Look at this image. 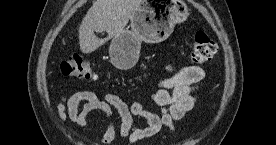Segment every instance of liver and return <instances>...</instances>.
I'll return each mask as SVG.
<instances>
[{
  "mask_svg": "<svg viewBox=\"0 0 276 145\" xmlns=\"http://www.w3.org/2000/svg\"><path fill=\"white\" fill-rule=\"evenodd\" d=\"M140 0H95L83 18L79 29V45L83 53H91L108 39L120 34ZM95 32H107L100 39Z\"/></svg>",
  "mask_w": 276,
  "mask_h": 145,
  "instance_id": "obj_1",
  "label": "liver"
}]
</instances>
